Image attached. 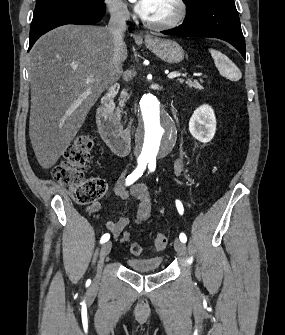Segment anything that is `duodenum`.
Returning a JSON list of instances; mask_svg holds the SVG:
<instances>
[{
    "mask_svg": "<svg viewBox=\"0 0 285 335\" xmlns=\"http://www.w3.org/2000/svg\"><path fill=\"white\" fill-rule=\"evenodd\" d=\"M119 89L118 84L107 89L97 109L96 119L99 132L110 149L117 155L126 156L131 151V132L121 125L113 112Z\"/></svg>",
    "mask_w": 285,
    "mask_h": 335,
    "instance_id": "duodenum-1",
    "label": "duodenum"
}]
</instances>
